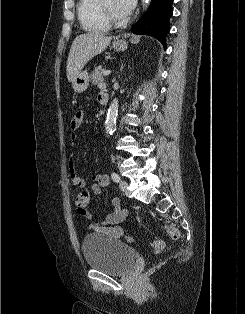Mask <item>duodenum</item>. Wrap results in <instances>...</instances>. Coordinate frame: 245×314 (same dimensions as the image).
I'll return each mask as SVG.
<instances>
[{
	"label": "duodenum",
	"mask_w": 245,
	"mask_h": 314,
	"mask_svg": "<svg viewBox=\"0 0 245 314\" xmlns=\"http://www.w3.org/2000/svg\"><path fill=\"white\" fill-rule=\"evenodd\" d=\"M100 99L103 104H106L108 101V95L106 93L100 94Z\"/></svg>",
	"instance_id": "1"
}]
</instances>
